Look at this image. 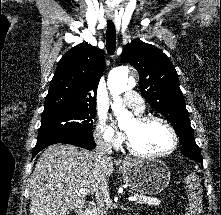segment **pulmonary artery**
<instances>
[{"mask_svg": "<svg viewBox=\"0 0 221 215\" xmlns=\"http://www.w3.org/2000/svg\"><path fill=\"white\" fill-rule=\"evenodd\" d=\"M123 102L125 105L130 107L137 114H141L144 112L145 104L142 97L133 90L127 91L124 95Z\"/></svg>", "mask_w": 221, "mask_h": 215, "instance_id": "pulmonary-artery-1", "label": "pulmonary artery"}]
</instances>
